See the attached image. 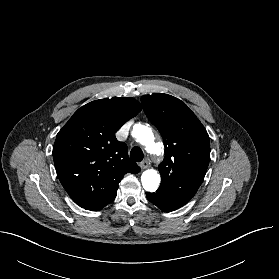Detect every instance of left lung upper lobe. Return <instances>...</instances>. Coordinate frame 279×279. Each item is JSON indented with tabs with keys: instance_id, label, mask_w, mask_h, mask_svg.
I'll return each mask as SVG.
<instances>
[{
	"instance_id": "left-lung-upper-lobe-1",
	"label": "left lung upper lobe",
	"mask_w": 279,
	"mask_h": 279,
	"mask_svg": "<svg viewBox=\"0 0 279 279\" xmlns=\"http://www.w3.org/2000/svg\"><path fill=\"white\" fill-rule=\"evenodd\" d=\"M148 119L160 131L165 158L159 165L161 196L189 201L204 180L209 160V136L181 100L157 93L141 98Z\"/></svg>"
}]
</instances>
